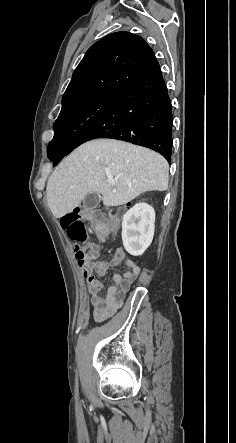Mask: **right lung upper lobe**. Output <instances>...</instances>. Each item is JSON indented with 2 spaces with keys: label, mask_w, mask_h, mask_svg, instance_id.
<instances>
[{
  "label": "right lung upper lobe",
  "mask_w": 236,
  "mask_h": 443,
  "mask_svg": "<svg viewBox=\"0 0 236 443\" xmlns=\"http://www.w3.org/2000/svg\"><path fill=\"white\" fill-rule=\"evenodd\" d=\"M157 62L150 46L129 32L105 36L93 44L73 73L62 110L97 94H117Z\"/></svg>",
  "instance_id": "obj_1"
}]
</instances>
